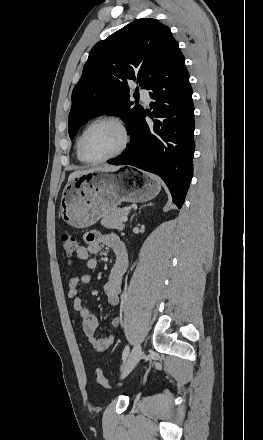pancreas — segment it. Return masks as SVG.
Masks as SVG:
<instances>
[{
  "label": "pancreas",
  "mask_w": 263,
  "mask_h": 440,
  "mask_svg": "<svg viewBox=\"0 0 263 440\" xmlns=\"http://www.w3.org/2000/svg\"><path fill=\"white\" fill-rule=\"evenodd\" d=\"M128 215L127 208H118L108 215L104 216L101 220V224L106 228H112L117 230H123L125 225L122 221V217Z\"/></svg>",
  "instance_id": "cf45deb5"
}]
</instances>
